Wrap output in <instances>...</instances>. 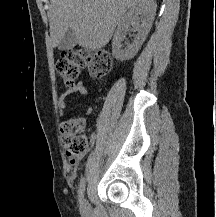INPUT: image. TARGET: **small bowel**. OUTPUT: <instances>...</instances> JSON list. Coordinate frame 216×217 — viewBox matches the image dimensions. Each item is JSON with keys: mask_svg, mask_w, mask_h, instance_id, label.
Masks as SVG:
<instances>
[{"mask_svg": "<svg viewBox=\"0 0 216 217\" xmlns=\"http://www.w3.org/2000/svg\"><path fill=\"white\" fill-rule=\"evenodd\" d=\"M73 94L87 95L89 94V89L83 82H80L76 85L69 87L58 99V108L60 111V116L64 115V111L68 106L67 99ZM85 112L87 114H91L92 108L86 105Z\"/></svg>", "mask_w": 216, "mask_h": 217, "instance_id": "1", "label": "small bowel"}]
</instances>
